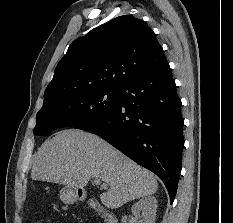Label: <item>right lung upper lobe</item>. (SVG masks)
<instances>
[{"label": "right lung upper lobe", "instance_id": "1", "mask_svg": "<svg viewBox=\"0 0 233 223\" xmlns=\"http://www.w3.org/2000/svg\"><path fill=\"white\" fill-rule=\"evenodd\" d=\"M166 63L162 46L145 22L117 17L71 43L45 90L44 104L92 88H121Z\"/></svg>", "mask_w": 233, "mask_h": 223}]
</instances>
